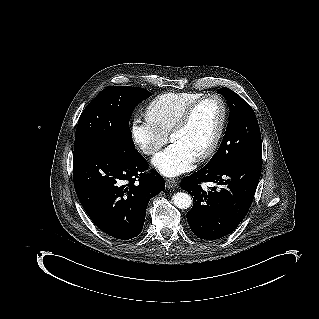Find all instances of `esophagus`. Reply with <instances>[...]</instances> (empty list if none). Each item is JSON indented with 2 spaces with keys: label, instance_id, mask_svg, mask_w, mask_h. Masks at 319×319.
I'll return each mask as SVG.
<instances>
[{
  "label": "esophagus",
  "instance_id": "esophagus-1",
  "mask_svg": "<svg viewBox=\"0 0 319 319\" xmlns=\"http://www.w3.org/2000/svg\"><path fill=\"white\" fill-rule=\"evenodd\" d=\"M177 185V182L174 178L166 179V186L167 188H173Z\"/></svg>",
  "mask_w": 319,
  "mask_h": 319
}]
</instances>
